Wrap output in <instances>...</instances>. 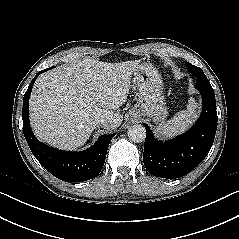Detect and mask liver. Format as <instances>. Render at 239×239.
Here are the masks:
<instances>
[{"instance_id": "1", "label": "liver", "mask_w": 239, "mask_h": 239, "mask_svg": "<svg viewBox=\"0 0 239 239\" xmlns=\"http://www.w3.org/2000/svg\"><path fill=\"white\" fill-rule=\"evenodd\" d=\"M138 68V60L107 63L85 58L41 75L29 101L34 134L50 146L70 150L87 142L100 117H109L110 123L102 126L115 130L123 116L114 110L126 102Z\"/></svg>"}]
</instances>
